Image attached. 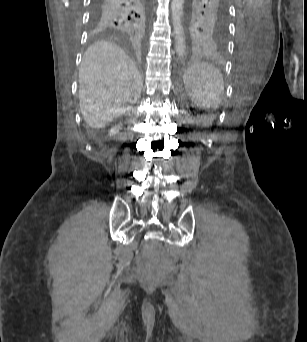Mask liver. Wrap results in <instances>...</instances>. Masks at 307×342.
Here are the masks:
<instances>
[{"label": "liver", "instance_id": "obj_1", "mask_svg": "<svg viewBox=\"0 0 307 342\" xmlns=\"http://www.w3.org/2000/svg\"><path fill=\"white\" fill-rule=\"evenodd\" d=\"M142 78L126 52L112 42L87 48L79 70V104L89 128L99 130L136 104Z\"/></svg>", "mask_w": 307, "mask_h": 342}]
</instances>
